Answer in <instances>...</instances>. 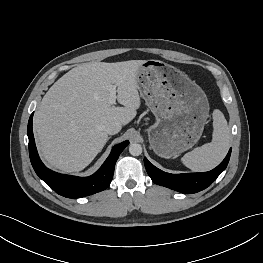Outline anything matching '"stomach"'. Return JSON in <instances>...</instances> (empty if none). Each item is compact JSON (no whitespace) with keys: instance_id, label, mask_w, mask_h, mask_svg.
Returning a JSON list of instances; mask_svg holds the SVG:
<instances>
[{"instance_id":"0dacf381","label":"stomach","mask_w":263,"mask_h":263,"mask_svg":"<svg viewBox=\"0 0 263 263\" xmlns=\"http://www.w3.org/2000/svg\"><path fill=\"white\" fill-rule=\"evenodd\" d=\"M136 79L156 118L147 130L153 151L172 158L192 148L209 116V102L201 87L176 67L154 59L143 61Z\"/></svg>"}]
</instances>
